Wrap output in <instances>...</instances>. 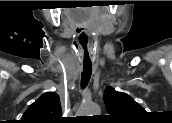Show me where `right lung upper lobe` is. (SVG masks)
<instances>
[{
	"label": "right lung upper lobe",
	"instance_id": "cb5924a9",
	"mask_svg": "<svg viewBox=\"0 0 172 123\" xmlns=\"http://www.w3.org/2000/svg\"><path fill=\"white\" fill-rule=\"evenodd\" d=\"M23 123H61L63 122L59 96L54 92L44 93L32 103L23 114Z\"/></svg>",
	"mask_w": 172,
	"mask_h": 123
}]
</instances>
